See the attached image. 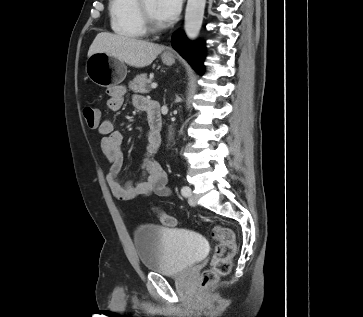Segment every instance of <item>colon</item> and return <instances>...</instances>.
I'll use <instances>...</instances> for the list:
<instances>
[{"label": "colon", "instance_id": "colon-1", "mask_svg": "<svg viewBox=\"0 0 363 317\" xmlns=\"http://www.w3.org/2000/svg\"><path fill=\"white\" fill-rule=\"evenodd\" d=\"M83 117L87 126L97 129L100 126V111L91 105L83 108ZM162 224L168 227L176 225V219L168 214L159 212ZM213 238L216 241L212 257L211 267L205 270L200 277V287L207 289L215 284L221 276L228 274L231 270L232 261L236 253L234 232L225 226H216L213 229Z\"/></svg>", "mask_w": 363, "mask_h": 317}]
</instances>
